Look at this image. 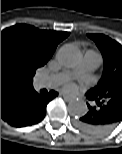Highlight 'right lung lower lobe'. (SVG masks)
<instances>
[{
	"label": "right lung lower lobe",
	"instance_id": "1",
	"mask_svg": "<svg viewBox=\"0 0 122 154\" xmlns=\"http://www.w3.org/2000/svg\"><path fill=\"white\" fill-rule=\"evenodd\" d=\"M57 95L53 90L39 94L32 85L15 90L1 98V118L14 127L36 124L43 120L47 104Z\"/></svg>",
	"mask_w": 122,
	"mask_h": 154
}]
</instances>
